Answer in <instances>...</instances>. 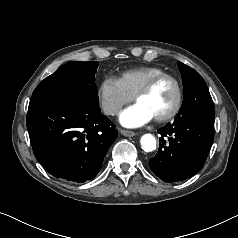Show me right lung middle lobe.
<instances>
[{"label":"right lung middle lobe","instance_id":"obj_1","mask_svg":"<svg viewBox=\"0 0 238 238\" xmlns=\"http://www.w3.org/2000/svg\"><path fill=\"white\" fill-rule=\"evenodd\" d=\"M98 62H69L45 78L32 97L69 96L99 105L95 74Z\"/></svg>","mask_w":238,"mask_h":238}]
</instances>
